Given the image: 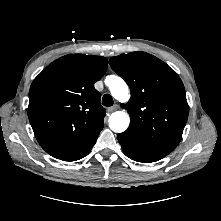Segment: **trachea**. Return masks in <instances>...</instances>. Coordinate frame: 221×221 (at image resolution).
I'll use <instances>...</instances> for the list:
<instances>
[{
    "label": "trachea",
    "instance_id": "3493384b",
    "mask_svg": "<svg viewBox=\"0 0 221 221\" xmlns=\"http://www.w3.org/2000/svg\"><path fill=\"white\" fill-rule=\"evenodd\" d=\"M102 104L106 107L113 105V98L110 94H105L102 98Z\"/></svg>",
    "mask_w": 221,
    "mask_h": 221
}]
</instances>
